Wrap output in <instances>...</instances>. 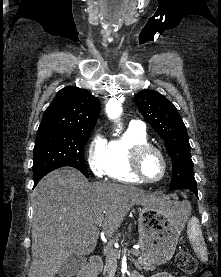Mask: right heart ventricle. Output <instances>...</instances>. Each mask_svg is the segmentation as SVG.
Listing matches in <instances>:
<instances>
[{
    "mask_svg": "<svg viewBox=\"0 0 221 277\" xmlns=\"http://www.w3.org/2000/svg\"><path fill=\"white\" fill-rule=\"evenodd\" d=\"M149 143L145 130L129 126L120 137L107 143L104 174L110 179L125 183H140L130 168V156L133 148Z\"/></svg>",
    "mask_w": 221,
    "mask_h": 277,
    "instance_id": "e07e8e85",
    "label": "right heart ventricle"
}]
</instances>
